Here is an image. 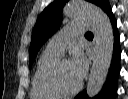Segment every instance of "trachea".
Wrapping results in <instances>:
<instances>
[{"instance_id": "obj_1", "label": "trachea", "mask_w": 128, "mask_h": 99, "mask_svg": "<svg viewBox=\"0 0 128 99\" xmlns=\"http://www.w3.org/2000/svg\"><path fill=\"white\" fill-rule=\"evenodd\" d=\"M85 35H93L91 32H87Z\"/></svg>"}]
</instances>
